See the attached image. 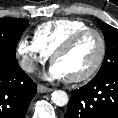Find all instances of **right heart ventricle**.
Masks as SVG:
<instances>
[{
	"mask_svg": "<svg viewBox=\"0 0 118 118\" xmlns=\"http://www.w3.org/2000/svg\"><path fill=\"white\" fill-rule=\"evenodd\" d=\"M86 28L89 25L83 20L61 18L39 25L34 32V38L50 56L69 37Z\"/></svg>",
	"mask_w": 118,
	"mask_h": 118,
	"instance_id": "e07e8e85",
	"label": "right heart ventricle"
}]
</instances>
